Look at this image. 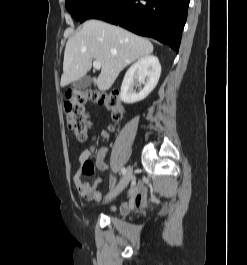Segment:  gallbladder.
Instances as JSON below:
<instances>
[{
  "mask_svg": "<svg viewBox=\"0 0 247 265\" xmlns=\"http://www.w3.org/2000/svg\"><path fill=\"white\" fill-rule=\"evenodd\" d=\"M91 77L90 76H84L76 81L73 82V87L76 89H86L91 84Z\"/></svg>",
  "mask_w": 247,
  "mask_h": 265,
  "instance_id": "1",
  "label": "gallbladder"
}]
</instances>
